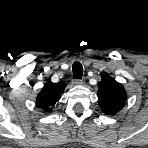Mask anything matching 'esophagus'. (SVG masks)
I'll return each mask as SVG.
<instances>
[{"label":"esophagus","mask_w":148,"mask_h":148,"mask_svg":"<svg viewBox=\"0 0 148 148\" xmlns=\"http://www.w3.org/2000/svg\"><path fill=\"white\" fill-rule=\"evenodd\" d=\"M73 82L76 85H83L85 83L83 79H75Z\"/></svg>","instance_id":"obj_1"}]
</instances>
